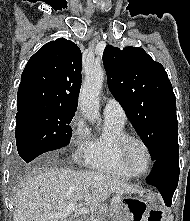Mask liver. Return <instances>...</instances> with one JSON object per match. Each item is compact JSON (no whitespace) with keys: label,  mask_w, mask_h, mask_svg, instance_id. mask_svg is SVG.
<instances>
[{"label":"liver","mask_w":190,"mask_h":221,"mask_svg":"<svg viewBox=\"0 0 190 221\" xmlns=\"http://www.w3.org/2000/svg\"><path fill=\"white\" fill-rule=\"evenodd\" d=\"M139 192V188L107 174L34 167L15 192L13 221H70L52 215L73 203L100 208L111 194Z\"/></svg>","instance_id":"1"}]
</instances>
